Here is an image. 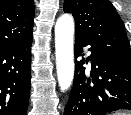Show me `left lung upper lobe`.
Masks as SVG:
<instances>
[{"mask_svg":"<svg viewBox=\"0 0 131 115\" xmlns=\"http://www.w3.org/2000/svg\"><path fill=\"white\" fill-rule=\"evenodd\" d=\"M72 13L75 35L86 38L107 58L131 69V49L124 23L109 0H65Z\"/></svg>","mask_w":131,"mask_h":115,"instance_id":"5c2ea615","label":"left lung upper lobe"}]
</instances>
